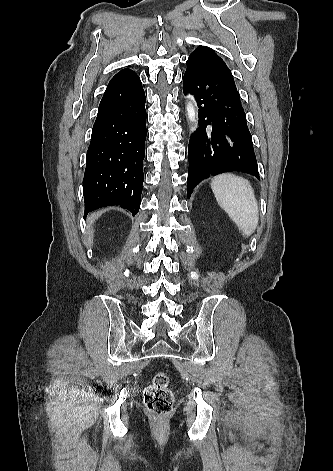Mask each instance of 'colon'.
<instances>
[{
	"label": "colon",
	"mask_w": 333,
	"mask_h": 471,
	"mask_svg": "<svg viewBox=\"0 0 333 471\" xmlns=\"http://www.w3.org/2000/svg\"><path fill=\"white\" fill-rule=\"evenodd\" d=\"M143 400L149 412L163 423L170 414L174 397L169 389V377L165 372H158L144 390Z\"/></svg>",
	"instance_id": "colon-1"
}]
</instances>
